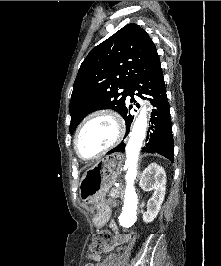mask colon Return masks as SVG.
Masks as SVG:
<instances>
[{
	"mask_svg": "<svg viewBox=\"0 0 221 266\" xmlns=\"http://www.w3.org/2000/svg\"><path fill=\"white\" fill-rule=\"evenodd\" d=\"M111 233L108 230H101L96 233L91 242L92 255H99L109 244Z\"/></svg>",
	"mask_w": 221,
	"mask_h": 266,
	"instance_id": "1",
	"label": "colon"
}]
</instances>
